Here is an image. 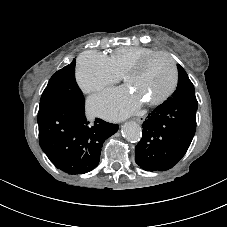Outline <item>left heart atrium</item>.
Masks as SVG:
<instances>
[{
	"mask_svg": "<svg viewBox=\"0 0 227 227\" xmlns=\"http://www.w3.org/2000/svg\"><path fill=\"white\" fill-rule=\"evenodd\" d=\"M141 100L131 94L127 88L108 90L89 100V109L100 116L111 120L124 118L134 113L140 106Z\"/></svg>",
	"mask_w": 227,
	"mask_h": 227,
	"instance_id": "1",
	"label": "left heart atrium"
}]
</instances>
